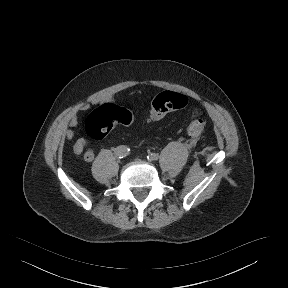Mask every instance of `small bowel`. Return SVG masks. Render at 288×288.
Wrapping results in <instances>:
<instances>
[{
    "instance_id": "small-bowel-1",
    "label": "small bowel",
    "mask_w": 288,
    "mask_h": 288,
    "mask_svg": "<svg viewBox=\"0 0 288 288\" xmlns=\"http://www.w3.org/2000/svg\"><path fill=\"white\" fill-rule=\"evenodd\" d=\"M82 139L78 140L75 144V146H79L82 144L81 147H77L75 149V146H74V152L77 154V155H80L81 153H83V157H84V160L86 162H92L95 158V152L92 150V149H89V148H86V141L85 142H82L81 141Z\"/></svg>"
}]
</instances>
